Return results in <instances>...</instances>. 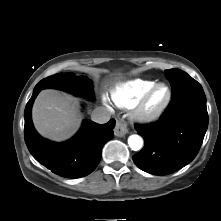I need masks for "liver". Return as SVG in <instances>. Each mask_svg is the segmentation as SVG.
Here are the masks:
<instances>
[{"instance_id": "1", "label": "liver", "mask_w": 221, "mask_h": 221, "mask_svg": "<svg viewBox=\"0 0 221 221\" xmlns=\"http://www.w3.org/2000/svg\"><path fill=\"white\" fill-rule=\"evenodd\" d=\"M32 119L38 133L53 141H63L78 129L81 116L70 95L47 89L37 96Z\"/></svg>"}]
</instances>
